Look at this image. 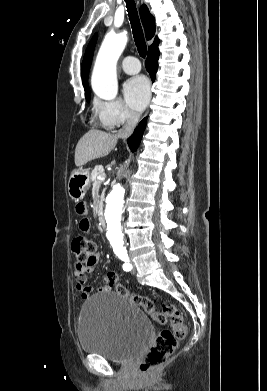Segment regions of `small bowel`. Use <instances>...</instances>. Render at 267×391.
<instances>
[{
    "label": "small bowel",
    "mask_w": 267,
    "mask_h": 391,
    "mask_svg": "<svg viewBox=\"0 0 267 391\" xmlns=\"http://www.w3.org/2000/svg\"><path fill=\"white\" fill-rule=\"evenodd\" d=\"M76 213L80 215L82 218L79 223V228L82 232L88 233L90 230V221L87 218V206L84 202H79L76 205ZM96 264L90 265V266H80L75 265V271L74 276L76 279V289L80 292L81 297L83 299H87L90 297L91 293L93 292V288L86 285L87 281V275L94 272L96 269ZM108 285L104 284L103 286H100L98 288L99 292L106 291L108 289Z\"/></svg>",
    "instance_id": "c3829d8e"
}]
</instances>
